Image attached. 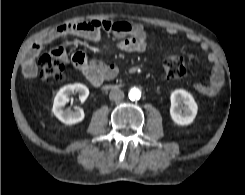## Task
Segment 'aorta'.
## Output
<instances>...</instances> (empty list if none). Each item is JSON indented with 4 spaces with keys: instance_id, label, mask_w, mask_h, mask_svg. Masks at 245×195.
<instances>
[{
    "instance_id": "762f6f07",
    "label": "aorta",
    "mask_w": 245,
    "mask_h": 195,
    "mask_svg": "<svg viewBox=\"0 0 245 195\" xmlns=\"http://www.w3.org/2000/svg\"><path fill=\"white\" fill-rule=\"evenodd\" d=\"M128 95L131 101H137L141 97V91L138 88L133 87L130 89Z\"/></svg>"
}]
</instances>
